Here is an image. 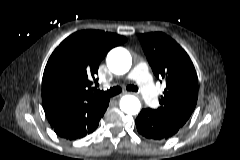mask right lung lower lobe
I'll list each match as a JSON object with an SVG mask.
<instances>
[{
	"label": "right lung lower lobe",
	"instance_id": "98d812e1",
	"mask_svg": "<svg viewBox=\"0 0 240 160\" xmlns=\"http://www.w3.org/2000/svg\"><path fill=\"white\" fill-rule=\"evenodd\" d=\"M110 99L94 102L85 111L64 118L58 125L53 127L55 133L67 140L80 139L92 133L103 117Z\"/></svg>",
	"mask_w": 240,
	"mask_h": 160
}]
</instances>
